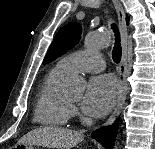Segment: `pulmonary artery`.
Instances as JSON below:
<instances>
[{"label": "pulmonary artery", "instance_id": "1", "mask_svg": "<svg viewBox=\"0 0 155 149\" xmlns=\"http://www.w3.org/2000/svg\"><path fill=\"white\" fill-rule=\"evenodd\" d=\"M57 65L63 72L72 74L101 71L105 67V62L97 51L84 50L63 57Z\"/></svg>", "mask_w": 155, "mask_h": 149}]
</instances>
